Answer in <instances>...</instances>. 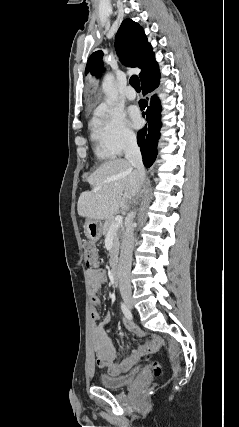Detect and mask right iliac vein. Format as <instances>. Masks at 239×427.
I'll list each match as a JSON object with an SVG mask.
<instances>
[{"label": "right iliac vein", "instance_id": "63e3f726", "mask_svg": "<svg viewBox=\"0 0 239 427\" xmlns=\"http://www.w3.org/2000/svg\"><path fill=\"white\" fill-rule=\"evenodd\" d=\"M122 298L125 302V304L129 307L132 308L133 307V299H132V295L131 292L128 290H124L121 292Z\"/></svg>", "mask_w": 239, "mask_h": 427}]
</instances>
